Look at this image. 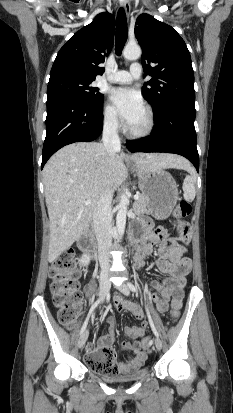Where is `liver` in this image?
<instances>
[{"instance_id": "6515ba94", "label": "liver", "mask_w": 233, "mask_h": 413, "mask_svg": "<svg viewBox=\"0 0 233 413\" xmlns=\"http://www.w3.org/2000/svg\"><path fill=\"white\" fill-rule=\"evenodd\" d=\"M110 157L99 142H77L57 151L43 169L45 200L50 220L48 261H55L88 227L104 191L114 192L127 176L124 160ZM138 172L166 168L189 169L173 154H133ZM90 200L89 203L86 201Z\"/></svg>"}]
</instances>
